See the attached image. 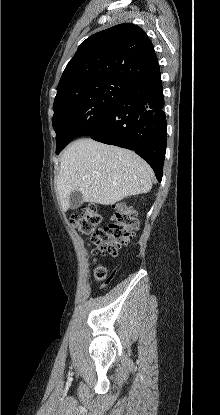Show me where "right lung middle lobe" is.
<instances>
[{"label":"right lung middle lobe","instance_id":"obj_1","mask_svg":"<svg viewBox=\"0 0 220 415\" xmlns=\"http://www.w3.org/2000/svg\"><path fill=\"white\" fill-rule=\"evenodd\" d=\"M132 86L110 78L77 83L57 93L52 120L56 153L74 138L96 132L108 111L131 91Z\"/></svg>","mask_w":220,"mask_h":415}]
</instances>
